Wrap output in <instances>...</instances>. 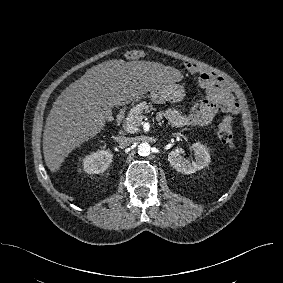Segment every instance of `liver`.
Returning a JSON list of instances; mask_svg holds the SVG:
<instances>
[{
	"label": "liver",
	"instance_id": "obj_1",
	"mask_svg": "<svg viewBox=\"0 0 283 283\" xmlns=\"http://www.w3.org/2000/svg\"><path fill=\"white\" fill-rule=\"evenodd\" d=\"M180 72L157 62L110 60L90 68L58 96L43 132L44 160L56 172L75 148L106 125L105 108H118L179 81Z\"/></svg>",
	"mask_w": 283,
	"mask_h": 283
}]
</instances>
